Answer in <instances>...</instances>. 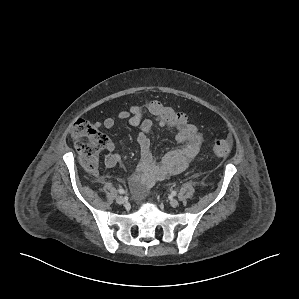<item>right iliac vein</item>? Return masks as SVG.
<instances>
[{"label":"right iliac vein","instance_id":"right-iliac-vein-1","mask_svg":"<svg viewBox=\"0 0 299 299\" xmlns=\"http://www.w3.org/2000/svg\"><path fill=\"white\" fill-rule=\"evenodd\" d=\"M116 202L118 204H124L126 202V199L123 196H117L116 197Z\"/></svg>","mask_w":299,"mask_h":299}]
</instances>
